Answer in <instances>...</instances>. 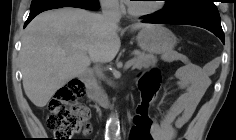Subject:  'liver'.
<instances>
[{
	"label": "liver",
	"instance_id": "obj_1",
	"mask_svg": "<svg viewBox=\"0 0 236 140\" xmlns=\"http://www.w3.org/2000/svg\"><path fill=\"white\" fill-rule=\"evenodd\" d=\"M150 24L137 23L132 30ZM117 23L80 8L65 7L39 14L22 36L20 66L23 88L37 107H44L55 92L82 75L91 62H110L121 42Z\"/></svg>",
	"mask_w": 236,
	"mask_h": 140
}]
</instances>
